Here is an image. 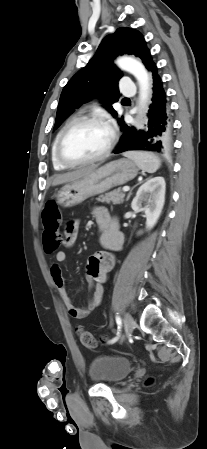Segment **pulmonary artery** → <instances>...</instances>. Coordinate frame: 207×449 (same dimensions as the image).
<instances>
[{"label": "pulmonary artery", "instance_id": "e3ab8cb5", "mask_svg": "<svg viewBox=\"0 0 207 449\" xmlns=\"http://www.w3.org/2000/svg\"><path fill=\"white\" fill-rule=\"evenodd\" d=\"M136 92L135 85L129 80H126V84L121 89V93L125 96H134Z\"/></svg>", "mask_w": 207, "mask_h": 449}]
</instances>
